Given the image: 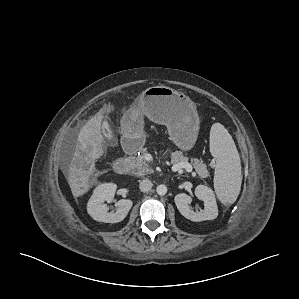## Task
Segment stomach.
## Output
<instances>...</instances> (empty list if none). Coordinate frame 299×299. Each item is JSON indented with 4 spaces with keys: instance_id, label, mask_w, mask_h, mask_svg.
I'll return each instance as SVG.
<instances>
[{
    "instance_id": "stomach-1",
    "label": "stomach",
    "mask_w": 299,
    "mask_h": 299,
    "mask_svg": "<svg viewBox=\"0 0 299 299\" xmlns=\"http://www.w3.org/2000/svg\"><path fill=\"white\" fill-rule=\"evenodd\" d=\"M144 117L165 125L170 140L182 151L195 145L200 120L195 103L183 92L167 86H152L144 90L128 109L122 123L130 133L139 132Z\"/></svg>"
}]
</instances>
